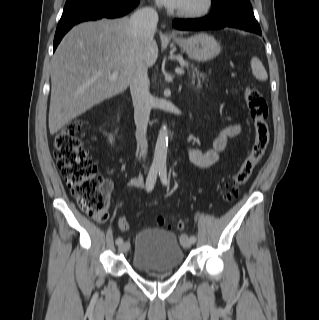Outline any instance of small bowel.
Returning a JSON list of instances; mask_svg holds the SVG:
<instances>
[{
  "instance_id": "1",
  "label": "small bowel",
  "mask_w": 319,
  "mask_h": 320,
  "mask_svg": "<svg viewBox=\"0 0 319 320\" xmlns=\"http://www.w3.org/2000/svg\"><path fill=\"white\" fill-rule=\"evenodd\" d=\"M241 131L239 123L224 128L215 138L213 147L208 151H201L197 148H188V155L191 163L198 168H206L213 165L219 157L229 138L238 135ZM144 180L142 177L131 178L127 182L129 188H143Z\"/></svg>"
}]
</instances>
